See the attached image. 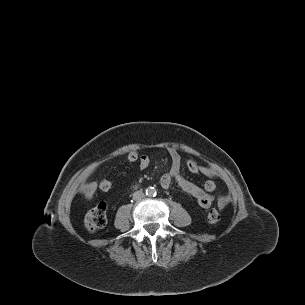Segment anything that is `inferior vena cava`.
Returning <instances> with one entry per match:
<instances>
[{"instance_id": "1", "label": "inferior vena cava", "mask_w": 305, "mask_h": 305, "mask_svg": "<svg viewBox=\"0 0 305 305\" xmlns=\"http://www.w3.org/2000/svg\"><path fill=\"white\" fill-rule=\"evenodd\" d=\"M144 197V193L142 191H136L133 193V199L134 200H140Z\"/></svg>"}]
</instances>
